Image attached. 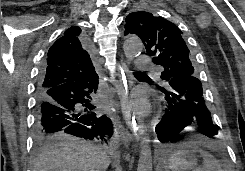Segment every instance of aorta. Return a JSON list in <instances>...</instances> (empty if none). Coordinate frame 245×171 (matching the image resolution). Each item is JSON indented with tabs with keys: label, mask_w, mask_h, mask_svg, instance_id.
<instances>
[{
	"label": "aorta",
	"mask_w": 245,
	"mask_h": 171,
	"mask_svg": "<svg viewBox=\"0 0 245 171\" xmlns=\"http://www.w3.org/2000/svg\"><path fill=\"white\" fill-rule=\"evenodd\" d=\"M142 48V42L138 38L127 39L123 44L124 53L128 61H133L141 53ZM149 143V136H145L141 141L137 171H152L153 169Z\"/></svg>",
	"instance_id": "obj_1"
}]
</instances>
